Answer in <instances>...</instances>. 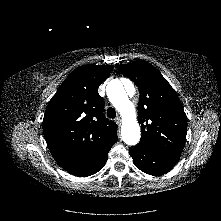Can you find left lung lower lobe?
I'll use <instances>...</instances> for the list:
<instances>
[{"instance_id": "0a47b994", "label": "left lung lower lobe", "mask_w": 221, "mask_h": 221, "mask_svg": "<svg viewBox=\"0 0 221 221\" xmlns=\"http://www.w3.org/2000/svg\"><path fill=\"white\" fill-rule=\"evenodd\" d=\"M129 153L137 168L155 176L168 172L180 158V156L159 151L140 142L129 148Z\"/></svg>"}]
</instances>
